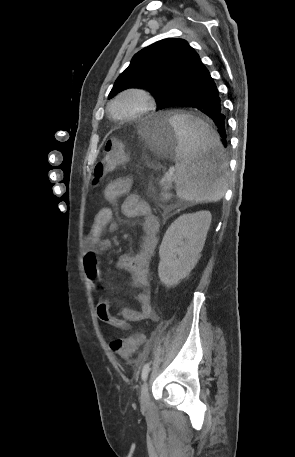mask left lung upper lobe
<instances>
[{
  "label": "left lung upper lobe",
  "mask_w": 295,
  "mask_h": 457,
  "mask_svg": "<svg viewBox=\"0 0 295 457\" xmlns=\"http://www.w3.org/2000/svg\"><path fill=\"white\" fill-rule=\"evenodd\" d=\"M198 58V53L183 39L155 42L133 56L109 97L127 88H146L163 109L172 96L188 87V74Z\"/></svg>",
  "instance_id": "1"
}]
</instances>
